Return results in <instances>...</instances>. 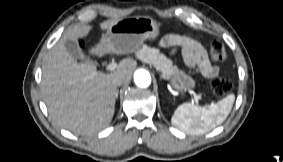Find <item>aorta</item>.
I'll return each mask as SVG.
<instances>
[{
    "instance_id": "762f6f07",
    "label": "aorta",
    "mask_w": 283,
    "mask_h": 162,
    "mask_svg": "<svg viewBox=\"0 0 283 162\" xmlns=\"http://www.w3.org/2000/svg\"><path fill=\"white\" fill-rule=\"evenodd\" d=\"M134 82L138 87H148L151 84V76L148 71L138 69L134 73Z\"/></svg>"
}]
</instances>
